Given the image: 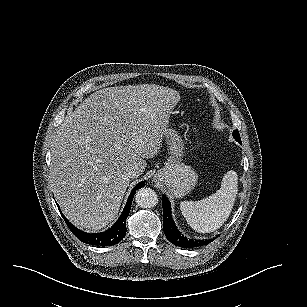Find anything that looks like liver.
Wrapping results in <instances>:
<instances>
[{"label":"liver","instance_id":"1","mask_svg":"<svg viewBox=\"0 0 307 307\" xmlns=\"http://www.w3.org/2000/svg\"><path fill=\"white\" fill-rule=\"evenodd\" d=\"M180 100L171 88L140 84L107 87L70 110L51 150L52 191L76 227L96 232L119 213L130 184L162 145L171 110Z\"/></svg>","mask_w":307,"mask_h":307}]
</instances>
